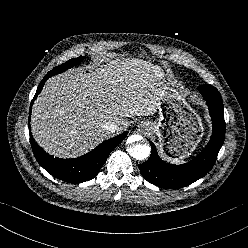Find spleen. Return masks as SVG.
<instances>
[{
  "label": "spleen",
  "mask_w": 248,
  "mask_h": 248,
  "mask_svg": "<svg viewBox=\"0 0 248 248\" xmlns=\"http://www.w3.org/2000/svg\"><path fill=\"white\" fill-rule=\"evenodd\" d=\"M172 163H174V164H183V163H185V161L180 160V159H175V160L172 161Z\"/></svg>",
  "instance_id": "spleen-1"
}]
</instances>
